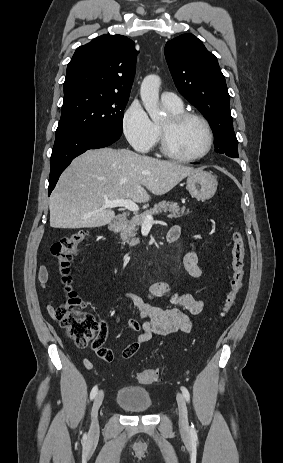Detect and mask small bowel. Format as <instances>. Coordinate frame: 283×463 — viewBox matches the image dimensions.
<instances>
[{
    "label": "small bowel",
    "mask_w": 283,
    "mask_h": 463,
    "mask_svg": "<svg viewBox=\"0 0 283 463\" xmlns=\"http://www.w3.org/2000/svg\"><path fill=\"white\" fill-rule=\"evenodd\" d=\"M168 234H172L176 239L181 235V228L173 226ZM183 265L187 273L193 278H201L203 270L198 264V255L194 243L190 244V250L183 257ZM38 279L42 286H45L49 279L47 268L42 267L38 272ZM125 298L138 310L142 321L130 319L128 328L137 333L136 338L123 351L122 358H131L138 349L153 336H168L176 332L189 333L192 330V319L190 315H197L202 312L204 303L201 299L189 293L175 291L166 282H155L143 298L136 293L126 292ZM167 298L170 307H158L152 304V300ZM48 310L54 313V308L48 305ZM135 349V351H134ZM84 365L91 369L92 363L83 359Z\"/></svg>",
    "instance_id": "c3829d8e"
}]
</instances>
